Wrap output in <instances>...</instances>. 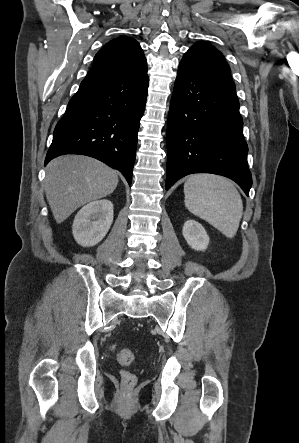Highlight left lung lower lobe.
<instances>
[{
    "instance_id": "1",
    "label": "left lung lower lobe",
    "mask_w": 299,
    "mask_h": 443,
    "mask_svg": "<svg viewBox=\"0 0 299 443\" xmlns=\"http://www.w3.org/2000/svg\"><path fill=\"white\" fill-rule=\"evenodd\" d=\"M236 90L178 68L167 125L166 190L192 173H212L235 181L249 195L247 164Z\"/></svg>"
}]
</instances>
